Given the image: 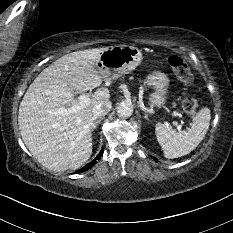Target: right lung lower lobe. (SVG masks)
Masks as SVG:
<instances>
[{"label":"right lung lower lobe","mask_w":233,"mask_h":233,"mask_svg":"<svg viewBox=\"0 0 233 233\" xmlns=\"http://www.w3.org/2000/svg\"><path fill=\"white\" fill-rule=\"evenodd\" d=\"M102 154H103V149L100 151V153L97 155V157L93 161H91L89 164H87L86 166L78 170L76 173L84 172L90 169L92 166L96 164V161L101 158Z\"/></svg>","instance_id":"1"}]
</instances>
